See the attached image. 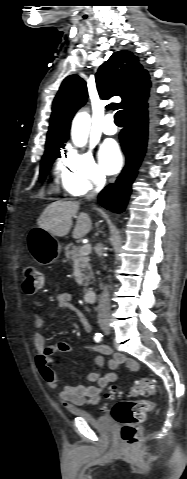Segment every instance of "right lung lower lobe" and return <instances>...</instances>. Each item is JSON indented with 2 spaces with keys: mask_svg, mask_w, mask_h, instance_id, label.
Listing matches in <instances>:
<instances>
[{
  "mask_svg": "<svg viewBox=\"0 0 187 479\" xmlns=\"http://www.w3.org/2000/svg\"><path fill=\"white\" fill-rule=\"evenodd\" d=\"M153 96L145 107L132 109L125 114L126 127L120 133L126 166L115 183L109 184L100 194V204L115 213L124 211L131 193V186L144 156L148 127L154 117Z\"/></svg>",
  "mask_w": 187,
  "mask_h": 479,
  "instance_id": "98d812e1",
  "label": "right lung lower lobe"
}]
</instances>
